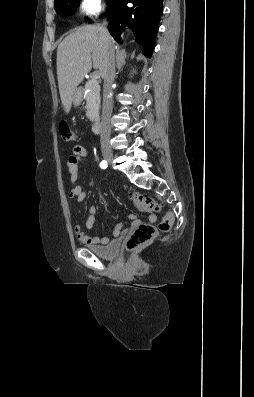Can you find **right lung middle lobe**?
<instances>
[{
  "label": "right lung middle lobe",
  "instance_id": "right-lung-middle-lobe-1",
  "mask_svg": "<svg viewBox=\"0 0 254 397\" xmlns=\"http://www.w3.org/2000/svg\"><path fill=\"white\" fill-rule=\"evenodd\" d=\"M113 0H107L108 5L111 4ZM80 0H56L54 3V8L62 17L67 16L74 12V10L78 7Z\"/></svg>",
  "mask_w": 254,
  "mask_h": 397
}]
</instances>
